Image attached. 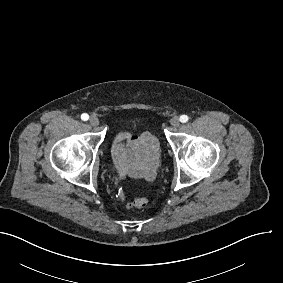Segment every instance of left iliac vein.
Masks as SVG:
<instances>
[{
	"instance_id": "left-iliac-vein-1",
	"label": "left iliac vein",
	"mask_w": 283,
	"mask_h": 283,
	"mask_svg": "<svg viewBox=\"0 0 283 283\" xmlns=\"http://www.w3.org/2000/svg\"><path fill=\"white\" fill-rule=\"evenodd\" d=\"M179 124H180V119H179V117L175 116V117L171 118V120H170V125H171L172 127L177 128V127H179Z\"/></svg>"
}]
</instances>
